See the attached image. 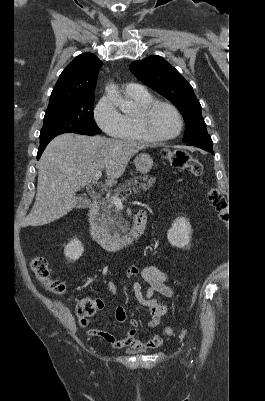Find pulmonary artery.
Segmentation results:
<instances>
[{"label":"pulmonary artery","mask_w":265,"mask_h":401,"mask_svg":"<svg viewBox=\"0 0 265 401\" xmlns=\"http://www.w3.org/2000/svg\"><path fill=\"white\" fill-rule=\"evenodd\" d=\"M125 92H141L143 89L135 84H125L123 86Z\"/></svg>","instance_id":"1"}]
</instances>
